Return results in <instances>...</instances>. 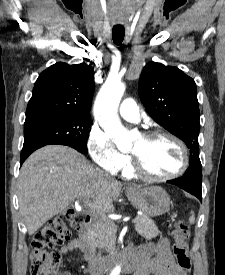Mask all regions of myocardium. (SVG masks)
I'll return each instance as SVG.
<instances>
[{"label":"myocardium","mask_w":225,"mask_h":275,"mask_svg":"<svg viewBox=\"0 0 225 275\" xmlns=\"http://www.w3.org/2000/svg\"><path fill=\"white\" fill-rule=\"evenodd\" d=\"M143 137L146 140H154L157 138H166L174 142L178 148L180 149L181 155H182V162L180 167L173 173L167 174V175H154L149 173L143 166L142 161L140 157L132 153V170L134 173L146 180L150 181H168L175 179L182 175L188 168L189 165V154L186 145L184 142L176 137L173 134L162 132V131H151L148 133H145Z\"/></svg>","instance_id":"f54148a6"}]
</instances>
